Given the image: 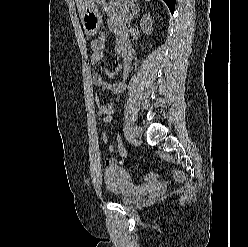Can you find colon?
<instances>
[{"instance_id": "1", "label": "colon", "mask_w": 248, "mask_h": 247, "mask_svg": "<svg viewBox=\"0 0 248 247\" xmlns=\"http://www.w3.org/2000/svg\"><path fill=\"white\" fill-rule=\"evenodd\" d=\"M116 149H117V152L119 154L120 160L122 162H124L125 164H128L129 163L128 155H127V152L125 150V147L123 145V142L121 140L120 135H117ZM156 176H157L156 173L152 172V173H149L146 176H144V179H146V180H153V179L156 178ZM174 177H175V179L177 181H182L183 178H184V175L180 171H175L174 172Z\"/></svg>"}]
</instances>
